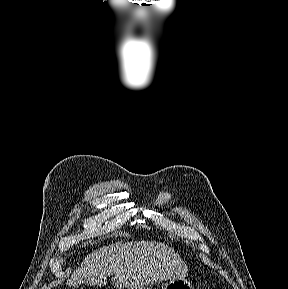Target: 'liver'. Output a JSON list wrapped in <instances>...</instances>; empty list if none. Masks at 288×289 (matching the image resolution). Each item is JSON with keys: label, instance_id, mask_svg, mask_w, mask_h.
Segmentation results:
<instances>
[{"label": "liver", "instance_id": "1", "mask_svg": "<svg viewBox=\"0 0 288 289\" xmlns=\"http://www.w3.org/2000/svg\"><path fill=\"white\" fill-rule=\"evenodd\" d=\"M111 275H115L117 288L145 289L164 280L184 278L187 267L179 255L163 243L120 241L86 256L66 284L102 286Z\"/></svg>", "mask_w": 288, "mask_h": 289}]
</instances>
